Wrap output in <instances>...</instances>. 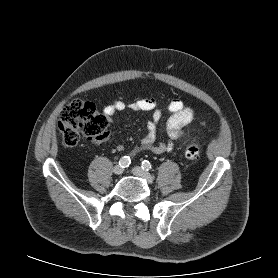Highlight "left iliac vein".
<instances>
[{
	"label": "left iliac vein",
	"instance_id": "4c4485c4",
	"mask_svg": "<svg viewBox=\"0 0 278 278\" xmlns=\"http://www.w3.org/2000/svg\"><path fill=\"white\" fill-rule=\"evenodd\" d=\"M132 173L135 176L145 178L148 182H152L153 181V177L147 171L142 169L141 167H138V166L134 167L132 169Z\"/></svg>",
	"mask_w": 278,
	"mask_h": 278
}]
</instances>
